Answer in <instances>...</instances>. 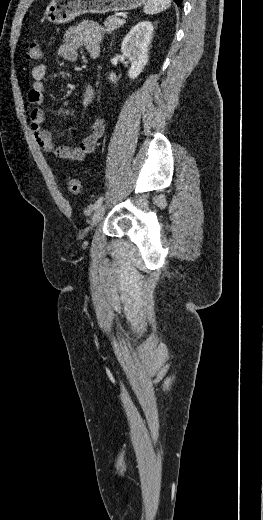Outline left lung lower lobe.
I'll return each mask as SVG.
<instances>
[{"instance_id":"0a47b994","label":"left lung lower lobe","mask_w":263,"mask_h":520,"mask_svg":"<svg viewBox=\"0 0 263 520\" xmlns=\"http://www.w3.org/2000/svg\"><path fill=\"white\" fill-rule=\"evenodd\" d=\"M176 2V4L179 6L182 2V0H174Z\"/></svg>"}]
</instances>
